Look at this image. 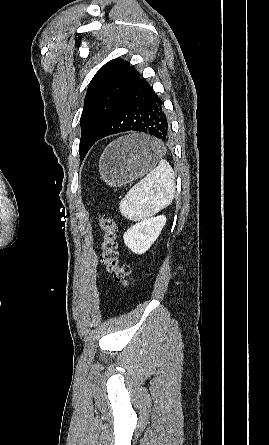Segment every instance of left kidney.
Segmentation results:
<instances>
[{
    "label": "left kidney",
    "instance_id": "5707ae66",
    "mask_svg": "<svg viewBox=\"0 0 269 445\" xmlns=\"http://www.w3.org/2000/svg\"><path fill=\"white\" fill-rule=\"evenodd\" d=\"M165 223L164 215L136 223L123 236L126 246L135 254L145 253L156 241Z\"/></svg>",
    "mask_w": 269,
    "mask_h": 445
}]
</instances>
